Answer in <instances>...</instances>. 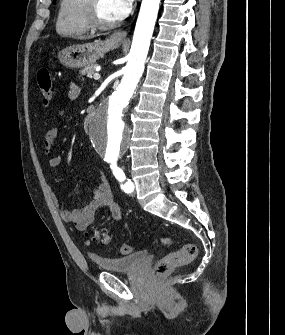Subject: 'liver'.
I'll return each mask as SVG.
<instances>
[{"instance_id":"obj_1","label":"liver","mask_w":285,"mask_h":335,"mask_svg":"<svg viewBox=\"0 0 285 335\" xmlns=\"http://www.w3.org/2000/svg\"><path fill=\"white\" fill-rule=\"evenodd\" d=\"M90 38H94V36H80L79 40H90Z\"/></svg>"}]
</instances>
